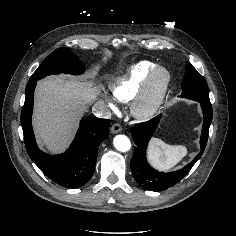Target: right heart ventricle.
<instances>
[{"instance_id":"e07e8e85","label":"right heart ventricle","mask_w":236,"mask_h":236,"mask_svg":"<svg viewBox=\"0 0 236 236\" xmlns=\"http://www.w3.org/2000/svg\"><path fill=\"white\" fill-rule=\"evenodd\" d=\"M156 67L157 64L151 61H141L132 65L126 73L113 84L112 94L114 99L122 103L132 101L147 76Z\"/></svg>"}]
</instances>
